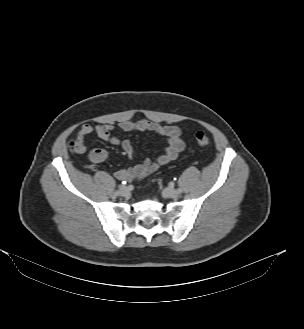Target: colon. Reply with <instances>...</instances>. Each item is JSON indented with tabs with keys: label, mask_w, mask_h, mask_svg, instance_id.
Instances as JSON below:
<instances>
[{
	"label": "colon",
	"mask_w": 304,
	"mask_h": 329,
	"mask_svg": "<svg viewBox=\"0 0 304 329\" xmlns=\"http://www.w3.org/2000/svg\"><path fill=\"white\" fill-rule=\"evenodd\" d=\"M195 139H196V142L202 147H207L211 143L208 135L202 131H199L196 133ZM70 147L73 151H76V149L78 148V146L76 145V143L74 141L71 142Z\"/></svg>",
	"instance_id": "colon-1"
}]
</instances>
